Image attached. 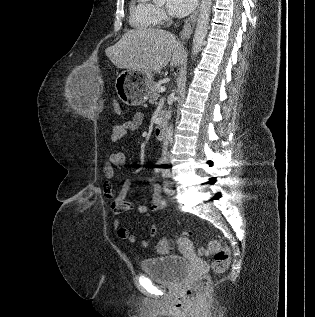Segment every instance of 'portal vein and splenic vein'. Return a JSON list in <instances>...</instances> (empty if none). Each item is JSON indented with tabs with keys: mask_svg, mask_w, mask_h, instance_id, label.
Wrapping results in <instances>:
<instances>
[{
	"mask_svg": "<svg viewBox=\"0 0 315 317\" xmlns=\"http://www.w3.org/2000/svg\"><path fill=\"white\" fill-rule=\"evenodd\" d=\"M159 91H160L161 93H163V92H165V88H164V87H160Z\"/></svg>",
	"mask_w": 315,
	"mask_h": 317,
	"instance_id": "18ae733b",
	"label": "portal vein and splenic vein"
}]
</instances>
